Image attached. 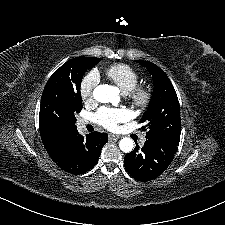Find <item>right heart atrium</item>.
I'll return each mask as SVG.
<instances>
[{"mask_svg": "<svg viewBox=\"0 0 225 225\" xmlns=\"http://www.w3.org/2000/svg\"><path fill=\"white\" fill-rule=\"evenodd\" d=\"M99 82L97 72L90 71L82 79L80 85V96L86 103L94 101V91Z\"/></svg>", "mask_w": 225, "mask_h": 225, "instance_id": "d8ad5b80", "label": "right heart atrium"}]
</instances>
